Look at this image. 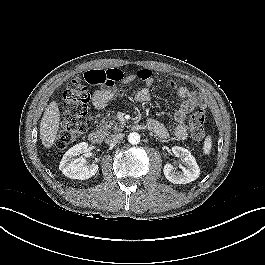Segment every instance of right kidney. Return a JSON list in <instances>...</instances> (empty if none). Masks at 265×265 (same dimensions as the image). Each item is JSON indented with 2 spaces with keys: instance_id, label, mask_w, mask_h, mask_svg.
<instances>
[{
  "instance_id": "ca27d5eb",
  "label": "right kidney",
  "mask_w": 265,
  "mask_h": 265,
  "mask_svg": "<svg viewBox=\"0 0 265 265\" xmlns=\"http://www.w3.org/2000/svg\"><path fill=\"white\" fill-rule=\"evenodd\" d=\"M88 149V143L81 142L70 148L63 156L59 169L61 172L72 179L85 180L95 175L98 171L97 164L88 165L84 157L74 158L85 153Z\"/></svg>"
}]
</instances>
